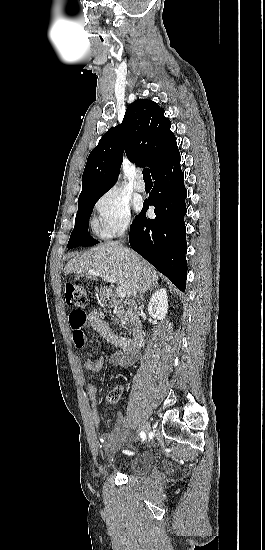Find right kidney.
<instances>
[{
  "label": "right kidney",
  "mask_w": 265,
  "mask_h": 550,
  "mask_svg": "<svg viewBox=\"0 0 265 550\" xmlns=\"http://www.w3.org/2000/svg\"><path fill=\"white\" fill-rule=\"evenodd\" d=\"M168 311L167 291L165 288L157 290L148 304L149 314L156 319H164Z\"/></svg>",
  "instance_id": "ca27d5eb"
}]
</instances>
